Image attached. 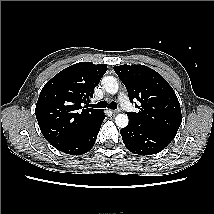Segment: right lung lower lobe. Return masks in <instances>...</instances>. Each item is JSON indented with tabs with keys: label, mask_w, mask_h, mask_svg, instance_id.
Listing matches in <instances>:
<instances>
[{
	"label": "right lung lower lobe",
	"mask_w": 214,
	"mask_h": 214,
	"mask_svg": "<svg viewBox=\"0 0 214 214\" xmlns=\"http://www.w3.org/2000/svg\"><path fill=\"white\" fill-rule=\"evenodd\" d=\"M104 118L105 115L102 113V115L87 127L72 143L59 149V151L71 155H81L88 152L96 141Z\"/></svg>",
	"instance_id": "right-lung-lower-lobe-1"
}]
</instances>
